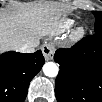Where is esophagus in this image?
<instances>
[{
	"instance_id": "1",
	"label": "esophagus",
	"mask_w": 102,
	"mask_h": 102,
	"mask_svg": "<svg viewBox=\"0 0 102 102\" xmlns=\"http://www.w3.org/2000/svg\"><path fill=\"white\" fill-rule=\"evenodd\" d=\"M46 61H51L54 58V48L50 44H44L41 48Z\"/></svg>"
}]
</instances>
